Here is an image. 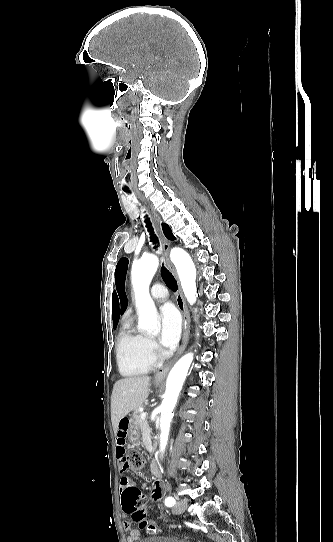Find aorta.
Segmentation results:
<instances>
[{"instance_id": "1", "label": "aorta", "mask_w": 333, "mask_h": 542, "mask_svg": "<svg viewBox=\"0 0 333 542\" xmlns=\"http://www.w3.org/2000/svg\"><path fill=\"white\" fill-rule=\"evenodd\" d=\"M172 262L177 270L184 296L193 306L196 302V268L194 262L181 248L171 250ZM159 260L154 254H145L139 262L132 266V284L135 292V306L138 312V330H147L155 334L157 330L158 312L149 294L150 282L157 272ZM194 360V354L189 352L174 364L166 380V392L160 406V452H164L167 444L173 410L177 404L178 396L188 376L189 368Z\"/></svg>"}]
</instances>
